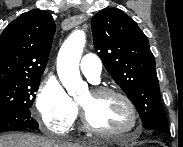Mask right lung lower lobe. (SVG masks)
<instances>
[{
  "mask_svg": "<svg viewBox=\"0 0 183 147\" xmlns=\"http://www.w3.org/2000/svg\"><path fill=\"white\" fill-rule=\"evenodd\" d=\"M38 128V123L31 117L30 110L17 108L0 111V133L7 131H22Z\"/></svg>",
  "mask_w": 183,
  "mask_h": 147,
  "instance_id": "1",
  "label": "right lung lower lobe"
}]
</instances>
